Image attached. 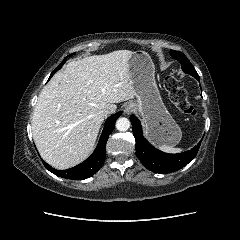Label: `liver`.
Wrapping results in <instances>:
<instances>
[{"label":"liver","instance_id":"obj_1","mask_svg":"<svg viewBox=\"0 0 240 240\" xmlns=\"http://www.w3.org/2000/svg\"><path fill=\"white\" fill-rule=\"evenodd\" d=\"M129 50L69 62L42 89L32 116V134L41 157L57 169L84 161L96 143L104 117L115 103L136 97ZM107 109L108 114L102 113Z\"/></svg>","mask_w":240,"mask_h":240}]
</instances>
